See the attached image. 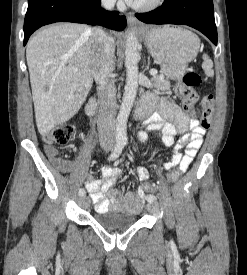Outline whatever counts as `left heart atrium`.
<instances>
[{
    "mask_svg": "<svg viewBox=\"0 0 247 275\" xmlns=\"http://www.w3.org/2000/svg\"><path fill=\"white\" fill-rule=\"evenodd\" d=\"M129 5H137L138 0H125Z\"/></svg>",
    "mask_w": 247,
    "mask_h": 275,
    "instance_id": "1",
    "label": "left heart atrium"
}]
</instances>
